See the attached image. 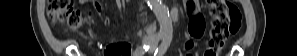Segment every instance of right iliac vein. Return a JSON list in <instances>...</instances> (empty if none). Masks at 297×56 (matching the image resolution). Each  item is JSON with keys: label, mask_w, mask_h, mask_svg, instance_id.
<instances>
[{"label": "right iliac vein", "mask_w": 297, "mask_h": 56, "mask_svg": "<svg viewBox=\"0 0 297 56\" xmlns=\"http://www.w3.org/2000/svg\"><path fill=\"white\" fill-rule=\"evenodd\" d=\"M143 42H146V39H143Z\"/></svg>", "instance_id": "obj_1"}]
</instances>
